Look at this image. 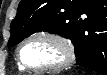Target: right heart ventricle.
Returning a JSON list of instances; mask_svg holds the SVG:
<instances>
[{"instance_id": "e07e8e85", "label": "right heart ventricle", "mask_w": 107, "mask_h": 75, "mask_svg": "<svg viewBox=\"0 0 107 75\" xmlns=\"http://www.w3.org/2000/svg\"><path fill=\"white\" fill-rule=\"evenodd\" d=\"M19 68L22 69L23 67L19 64Z\"/></svg>"}]
</instances>
